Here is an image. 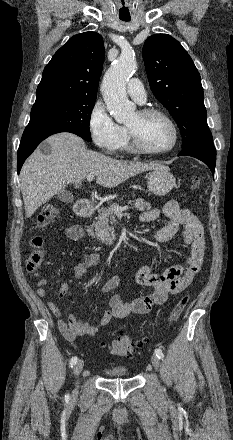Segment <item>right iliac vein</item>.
<instances>
[{
    "mask_svg": "<svg viewBox=\"0 0 233 440\" xmlns=\"http://www.w3.org/2000/svg\"><path fill=\"white\" fill-rule=\"evenodd\" d=\"M83 366H84V361L83 360H79L76 364H75V366H74V375L76 376V377H78L79 376V374L81 373V371L83 370ZM77 384V383H76ZM74 394H77L78 393V389H77V386H76V388L74 389V392H73Z\"/></svg>",
    "mask_w": 233,
    "mask_h": 440,
    "instance_id": "63e3f726",
    "label": "right iliac vein"
}]
</instances>
